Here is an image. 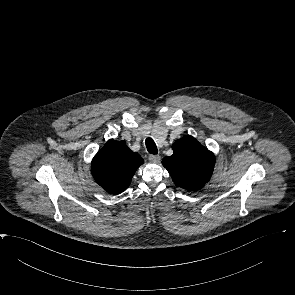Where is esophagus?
Instances as JSON below:
<instances>
[{
    "mask_svg": "<svg viewBox=\"0 0 295 295\" xmlns=\"http://www.w3.org/2000/svg\"><path fill=\"white\" fill-rule=\"evenodd\" d=\"M148 159L150 162L158 163L161 157L159 155H149Z\"/></svg>",
    "mask_w": 295,
    "mask_h": 295,
    "instance_id": "34e87169",
    "label": "esophagus"
}]
</instances>
